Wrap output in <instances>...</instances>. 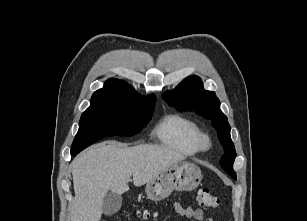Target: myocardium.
Here are the masks:
<instances>
[{"mask_svg": "<svg viewBox=\"0 0 307 221\" xmlns=\"http://www.w3.org/2000/svg\"><path fill=\"white\" fill-rule=\"evenodd\" d=\"M198 147L200 151H206L211 147V139L207 134L200 133Z\"/></svg>", "mask_w": 307, "mask_h": 221, "instance_id": "1", "label": "myocardium"}]
</instances>
